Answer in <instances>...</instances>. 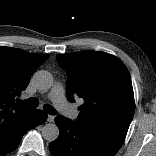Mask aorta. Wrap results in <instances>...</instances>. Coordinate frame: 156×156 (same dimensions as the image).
Returning <instances> with one entry per match:
<instances>
[{
	"label": "aorta",
	"mask_w": 156,
	"mask_h": 156,
	"mask_svg": "<svg viewBox=\"0 0 156 156\" xmlns=\"http://www.w3.org/2000/svg\"><path fill=\"white\" fill-rule=\"evenodd\" d=\"M35 85L40 90H48L53 84V77L50 72L45 70L37 71L33 75ZM42 136L45 140L52 142L59 136V128L55 123L45 124L42 128Z\"/></svg>",
	"instance_id": "1"
}]
</instances>
